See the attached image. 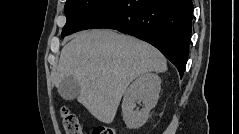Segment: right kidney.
<instances>
[{
    "mask_svg": "<svg viewBox=\"0 0 239 134\" xmlns=\"http://www.w3.org/2000/svg\"><path fill=\"white\" fill-rule=\"evenodd\" d=\"M160 89L161 79L154 73L142 74L132 82L122 101L123 120L128 128L137 129L147 121L150 110L157 104ZM141 102L143 108L135 110L136 103L141 105Z\"/></svg>",
    "mask_w": 239,
    "mask_h": 134,
    "instance_id": "obj_1",
    "label": "right kidney"
}]
</instances>
